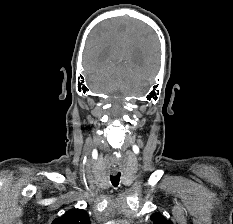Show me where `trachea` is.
Instances as JSON below:
<instances>
[{
	"instance_id": "1",
	"label": "trachea",
	"mask_w": 233,
	"mask_h": 224,
	"mask_svg": "<svg viewBox=\"0 0 233 224\" xmlns=\"http://www.w3.org/2000/svg\"><path fill=\"white\" fill-rule=\"evenodd\" d=\"M120 176H121L120 173H117L115 175H110V180L114 187H117L119 185Z\"/></svg>"
}]
</instances>
